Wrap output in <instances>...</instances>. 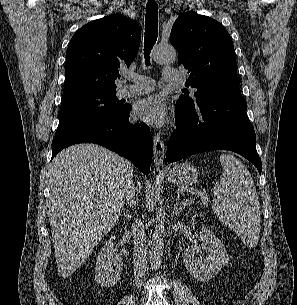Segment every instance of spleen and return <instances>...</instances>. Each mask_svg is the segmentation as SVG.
Segmentation results:
<instances>
[{
	"instance_id": "obj_1",
	"label": "spleen",
	"mask_w": 297,
	"mask_h": 305,
	"mask_svg": "<svg viewBox=\"0 0 297 305\" xmlns=\"http://www.w3.org/2000/svg\"><path fill=\"white\" fill-rule=\"evenodd\" d=\"M223 173L214 185L213 211L250 248L260 234V208L253 179L246 166L230 154H222Z\"/></svg>"
}]
</instances>
